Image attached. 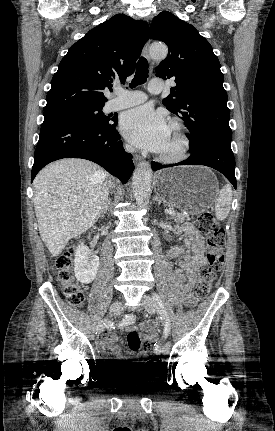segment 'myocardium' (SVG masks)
Segmentation results:
<instances>
[{"mask_svg": "<svg viewBox=\"0 0 275 431\" xmlns=\"http://www.w3.org/2000/svg\"><path fill=\"white\" fill-rule=\"evenodd\" d=\"M169 126L173 127L178 134L179 146L172 154L159 153L158 159L167 164H174L184 161L191 149V139L186 126L178 119H172Z\"/></svg>", "mask_w": 275, "mask_h": 431, "instance_id": "obj_1", "label": "myocardium"}]
</instances>
